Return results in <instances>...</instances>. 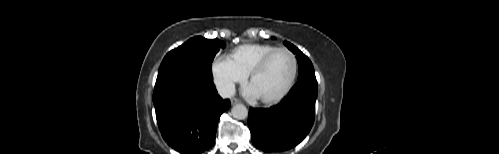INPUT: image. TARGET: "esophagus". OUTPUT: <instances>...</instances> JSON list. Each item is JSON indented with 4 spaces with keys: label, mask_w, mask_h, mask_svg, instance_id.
<instances>
[{
    "label": "esophagus",
    "mask_w": 499,
    "mask_h": 154,
    "mask_svg": "<svg viewBox=\"0 0 499 154\" xmlns=\"http://www.w3.org/2000/svg\"><path fill=\"white\" fill-rule=\"evenodd\" d=\"M237 103H239L238 99H236V98L231 99V105H235Z\"/></svg>",
    "instance_id": "1"
}]
</instances>
